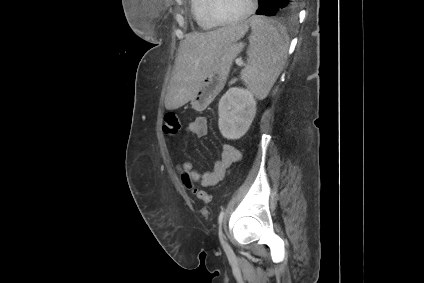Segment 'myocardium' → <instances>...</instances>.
<instances>
[{"mask_svg":"<svg viewBox=\"0 0 424 283\" xmlns=\"http://www.w3.org/2000/svg\"><path fill=\"white\" fill-rule=\"evenodd\" d=\"M216 0H207L206 2V14L209 20L216 25H232L248 19L255 11L257 6L256 0H249V7L245 13L234 19H223L219 17L215 11Z\"/></svg>","mask_w":424,"mask_h":283,"instance_id":"f54148a6","label":"myocardium"}]
</instances>
